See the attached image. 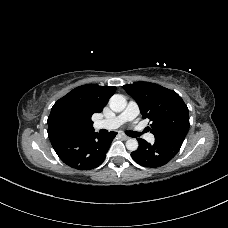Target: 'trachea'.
<instances>
[{
  "label": "trachea",
  "mask_w": 228,
  "mask_h": 228,
  "mask_svg": "<svg viewBox=\"0 0 228 228\" xmlns=\"http://www.w3.org/2000/svg\"><path fill=\"white\" fill-rule=\"evenodd\" d=\"M125 133L130 137H138L141 135V133L135 131H126Z\"/></svg>",
  "instance_id": "3493384b"
}]
</instances>
